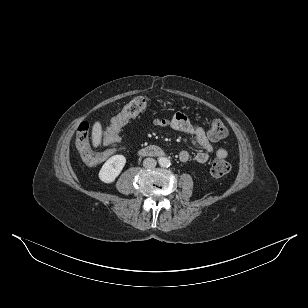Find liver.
Here are the masks:
<instances>
[{
	"mask_svg": "<svg viewBox=\"0 0 308 308\" xmlns=\"http://www.w3.org/2000/svg\"><path fill=\"white\" fill-rule=\"evenodd\" d=\"M102 133L103 131L100 122H95L92 128V143L94 147H97L101 144Z\"/></svg>",
	"mask_w": 308,
	"mask_h": 308,
	"instance_id": "6515ba94",
	"label": "liver"
}]
</instances>
